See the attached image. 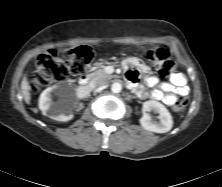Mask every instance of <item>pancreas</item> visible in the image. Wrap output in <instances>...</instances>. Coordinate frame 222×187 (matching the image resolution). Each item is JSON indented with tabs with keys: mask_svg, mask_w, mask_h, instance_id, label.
<instances>
[{
	"mask_svg": "<svg viewBox=\"0 0 222 187\" xmlns=\"http://www.w3.org/2000/svg\"><path fill=\"white\" fill-rule=\"evenodd\" d=\"M92 77H100V78H104V79H111L114 76L107 74L106 71L104 69H100L95 71L94 73L91 74Z\"/></svg>",
	"mask_w": 222,
	"mask_h": 187,
	"instance_id": "cf45deb5",
	"label": "pancreas"
}]
</instances>
